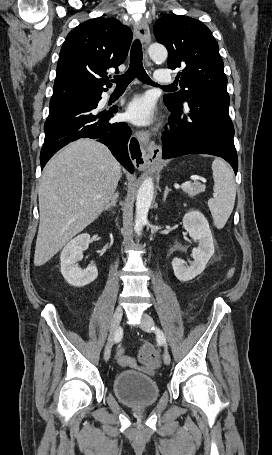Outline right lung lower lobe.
Listing matches in <instances>:
<instances>
[{
  "instance_id": "98d812e1",
  "label": "right lung lower lobe",
  "mask_w": 272,
  "mask_h": 455,
  "mask_svg": "<svg viewBox=\"0 0 272 455\" xmlns=\"http://www.w3.org/2000/svg\"><path fill=\"white\" fill-rule=\"evenodd\" d=\"M96 102L87 106H66L49 112L44 125L45 140L40 153L41 168L62 147L79 138H93L105 144L114 157L130 172L134 166L127 144L131 130L126 123H109L117 108L98 111Z\"/></svg>"
}]
</instances>
